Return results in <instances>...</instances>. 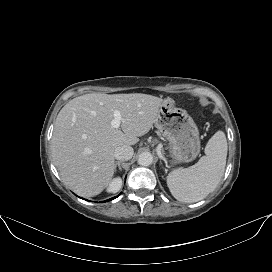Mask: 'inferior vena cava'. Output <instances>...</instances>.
<instances>
[{
	"label": "inferior vena cava",
	"instance_id": "inferior-vena-cava-1",
	"mask_svg": "<svg viewBox=\"0 0 272 272\" xmlns=\"http://www.w3.org/2000/svg\"><path fill=\"white\" fill-rule=\"evenodd\" d=\"M133 148L129 145H122L115 149L114 158L117 160H130L133 157Z\"/></svg>",
	"mask_w": 272,
	"mask_h": 272
}]
</instances>
